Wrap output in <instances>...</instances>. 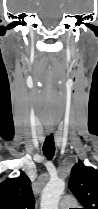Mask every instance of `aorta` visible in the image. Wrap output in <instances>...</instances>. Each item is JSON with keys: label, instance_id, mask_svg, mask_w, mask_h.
<instances>
[{"label": "aorta", "instance_id": "aorta-1", "mask_svg": "<svg viewBox=\"0 0 98 209\" xmlns=\"http://www.w3.org/2000/svg\"><path fill=\"white\" fill-rule=\"evenodd\" d=\"M65 189V182L62 179H51L43 189L41 196V209H58L61 195Z\"/></svg>", "mask_w": 98, "mask_h": 209}]
</instances>
